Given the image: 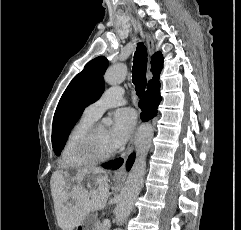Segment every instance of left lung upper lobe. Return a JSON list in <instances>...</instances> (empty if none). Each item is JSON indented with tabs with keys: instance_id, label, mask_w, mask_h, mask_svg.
Returning <instances> with one entry per match:
<instances>
[{
	"instance_id": "1",
	"label": "left lung upper lobe",
	"mask_w": 241,
	"mask_h": 230,
	"mask_svg": "<svg viewBox=\"0 0 241 230\" xmlns=\"http://www.w3.org/2000/svg\"><path fill=\"white\" fill-rule=\"evenodd\" d=\"M108 60L99 56L88 62L63 93L54 114L52 125V147L59 155L65 146L71 129L84 109L95 102L104 91L103 74Z\"/></svg>"
}]
</instances>
